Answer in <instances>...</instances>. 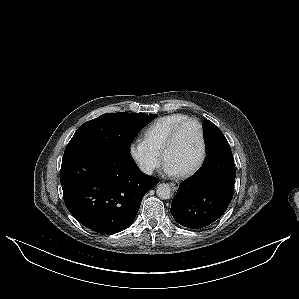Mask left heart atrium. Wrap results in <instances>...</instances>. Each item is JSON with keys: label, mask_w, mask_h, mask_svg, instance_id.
Wrapping results in <instances>:
<instances>
[{"label": "left heart atrium", "mask_w": 299, "mask_h": 299, "mask_svg": "<svg viewBox=\"0 0 299 299\" xmlns=\"http://www.w3.org/2000/svg\"><path fill=\"white\" fill-rule=\"evenodd\" d=\"M164 170L169 175H172V176L179 175V171L170 164H166L164 167Z\"/></svg>", "instance_id": "39dd6f15"}]
</instances>
